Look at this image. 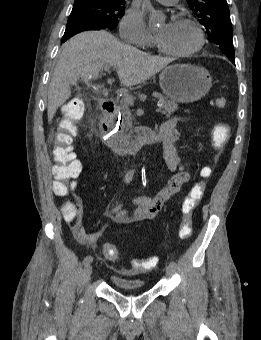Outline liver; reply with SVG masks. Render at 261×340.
<instances>
[{"mask_svg":"<svg viewBox=\"0 0 261 340\" xmlns=\"http://www.w3.org/2000/svg\"><path fill=\"white\" fill-rule=\"evenodd\" d=\"M171 61L125 45L104 30L75 35L64 44L49 85L48 121L71 96L70 85L80 77L97 79L101 69L109 65L116 67L121 84L131 87L146 81Z\"/></svg>","mask_w":261,"mask_h":340,"instance_id":"1","label":"liver"}]
</instances>
